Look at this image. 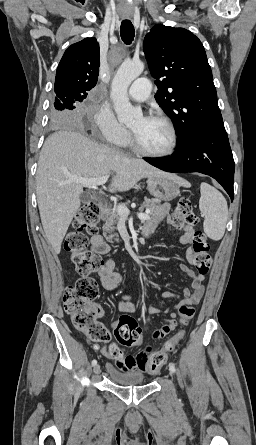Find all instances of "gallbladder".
Instances as JSON below:
<instances>
[{
    "label": "gallbladder",
    "mask_w": 256,
    "mask_h": 445,
    "mask_svg": "<svg viewBox=\"0 0 256 445\" xmlns=\"http://www.w3.org/2000/svg\"><path fill=\"white\" fill-rule=\"evenodd\" d=\"M80 199H81V201L82 202H88V201H90V196L87 194V193H82L81 195H80Z\"/></svg>",
    "instance_id": "bac80fb5"
}]
</instances>
